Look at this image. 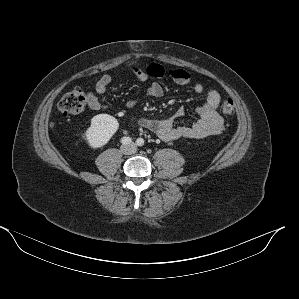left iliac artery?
Here are the masks:
<instances>
[{
	"mask_svg": "<svg viewBox=\"0 0 299 299\" xmlns=\"http://www.w3.org/2000/svg\"><path fill=\"white\" fill-rule=\"evenodd\" d=\"M136 144H137L138 146H143V145H144V140H143L142 138H138V139L136 140Z\"/></svg>",
	"mask_w": 299,
	"mask_h": 299,
	"instance_id": "1",
	"label": "left iliac artery"
}]
</instances>
